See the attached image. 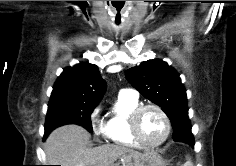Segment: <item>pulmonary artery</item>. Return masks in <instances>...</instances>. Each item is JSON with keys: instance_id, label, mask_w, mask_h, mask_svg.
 Returning a JSON list of instances; mask_svg holds the SVG:
<instances>
[{"instance_id": "e3ab8cb5", "label": "pulmonary artery", "mask_w": 236, "mask_h": 166, "mask_svg": "<svg viewBox=\"0 0 236 166\" xmlns=\"http://www.w3.org/2000/svg\"><path fill=\"white\" fill-rule=\"evenodd\" d=\"M119 95H120V96H131V97H137V98H138V93H137V91L134 90V89H129V88L122 89V90L119 92Z\"/></svg>"}]
</instances>
